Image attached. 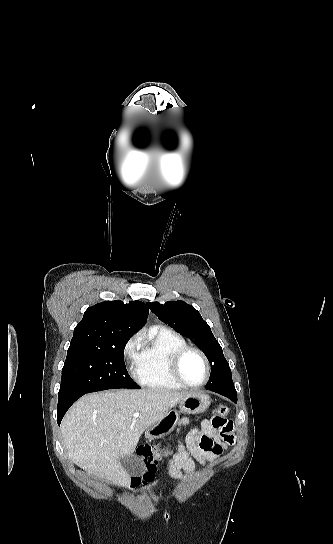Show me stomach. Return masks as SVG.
Returning <instances> with one entry per match:
<instances>
[{"instance_id":"obj_1","label":"stomach","mask_w":333,"mask_h":544,"mask_svg":"<svg viewBox=\"0 0 333 544\" xmlns=\"http://www.w3.org/2000/svg\"><path fill=\"white\" fill-rule=\"evenodd\" d=\"M209 405L210 397L208 395L203 393H191L179 401V412L170 410L163 419L146 430L145 437L149 440L162 438L174 430L179 421L180 413H201L204 412Z\"/></svg>"}]
</instances>
